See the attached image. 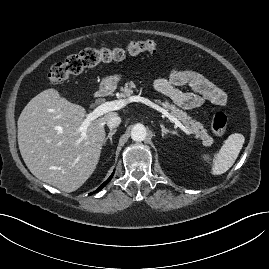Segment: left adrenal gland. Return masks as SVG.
<instances>
[{
	"label": "left adrenal gland",
	"mask_w": 269,
	"mask_h": 269,
	"mask_svg": "<svg viewBox=\"0 0 269 269\" xmlns=\"http://www.w3.org/2000/svg\"><path fill=\"white\" fill-rule=\"evenodd\" d=\"M160 127L162 129V137H164L165 135H167L168 133L170 134H175V131L172 130H168L167 128H165V126L163 124H160Z\"/></svg>",
	"instance_id": "1"
}]
</instances>
